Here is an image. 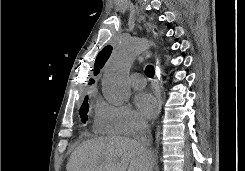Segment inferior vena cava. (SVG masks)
Listing matches in <instances>:
<instances>
[{
    "instance_id": "602c4592",
    "label": "inferior vena cava",
    "mask_w": 245,
    "mask_h": 171,
    "mask_svg": "<svg viewBox=\"0 0 245 171\" xmlns=\"http://www.w3.org/2000/svg\"><path fill=\"white\" fill-rule=\"evenodd\" d=\"M135 141L139 146L141 152L144 154L145 157L152 160L153 155L151 151V143H152V136L151 131L149 130L148 124L145 121H140L138 123L137 132L135 135Z\"/></svg>"
}]
</instances>
